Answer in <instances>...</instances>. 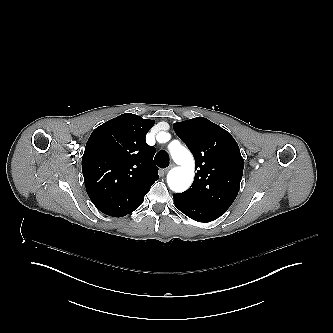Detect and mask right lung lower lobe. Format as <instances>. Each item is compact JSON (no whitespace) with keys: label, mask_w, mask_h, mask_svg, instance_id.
<instances>
[{"label":"right lung lower lobe","mask_w":333,"mask_h":333,"mask_svg":"<svg viewBox=\"0 0 333 333\" xmlns=\"http://www.w3.org/2000/svg\"><path fill=\"white\" fill-rule=\"evenodd\" d=\"M87 193L103 213L122 217L137 209L157 180L131 176L117 178L107 161L96 159L82 169Z\"/></svg>","instance_id":"1"}]
</instances>
